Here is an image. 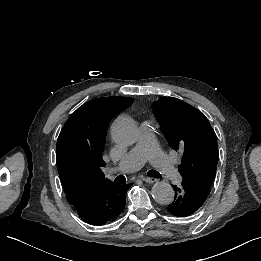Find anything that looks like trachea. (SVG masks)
<instances>
[{
	"label": "trachea",
	"instance_id": "obj_1",
	"mask_svg": "<svg viewBox=\"0 0 261 261\" xmlns=\"http://www.w3.org/2000/svg\"><path fill=\"white\" fill-rule=\"evenodd\" d=\"M148 176L149 177H152V178H160L161 176H162V174L161 173H159L158 171H155V170H150L149 172H148ZM115 181L117 182V183H125L126 182V179L124 178V176H118L116 179H115Z\"/></svg>",
	"mask_w": 261,
	"mask_h": 261
}]
</instances>
